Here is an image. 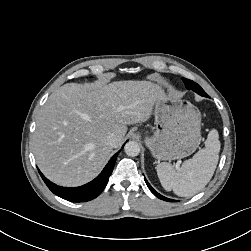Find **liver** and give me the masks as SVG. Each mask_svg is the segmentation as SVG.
Masks as SVG:
<instances>
[{
  "instance_id": "6515ba94",
  "label": "liver",
  "mask_w": 251,
  "mask_h": 251,
  "mask_svg": "<svg viewBox=\"0 0 251 251\" xmlns=\"http://www.w3.org/2000/svg\"><path fill=\"white\" fill-rule=\"evenodd\" d=\"M163 95L162 88L150 81L61 86L37 118L33 148L38 167L62 186L91 181L113 148L122 145L127 125L146 122ZM112 133L117 135L115 147L105 142Z\"/></svg>"
}]
</instances>
